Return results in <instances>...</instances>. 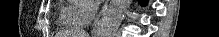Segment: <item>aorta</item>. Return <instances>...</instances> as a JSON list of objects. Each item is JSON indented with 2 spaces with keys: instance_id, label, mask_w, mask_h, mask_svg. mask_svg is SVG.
Here are the masks:
<instances>
[{
  "instance_id": "aorta-1",
  "label": "aorta",
  "mask_w": 219,
  "mask_h": 37,
  "mask_svg": "<svg viewBox=\"0 0 219 37\" xmlns=\"http://www.w3.org/2000/svg\"><path fill=\"white\" fill-rule=\"evenodd\" d=\"M132 0H114L103 19L96 37H115Z\"/></svg>"
}]
</instances>
